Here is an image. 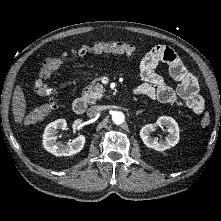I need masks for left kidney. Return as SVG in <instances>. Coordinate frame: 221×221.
<instances>
[{
	"mask_svg": "<svg viewBox=\"0 0 221 221\" xmlns=\"http://www.w3.org/2000/svg\"><path fill=\"white\" fill-rule=\"evenodd\" d=\"M157 126H165L168 135L165 140H155L150 135ZM140 137L148 148L164 151L175 146L179 141V127L177 122L169 116H161L155 124H147L140 130Z\"/></svg>",
	"mask_w": 221,
	"mask_h": 221,
	"instance_id": "1",
	"label": "left kidney"
}]
</instances>
